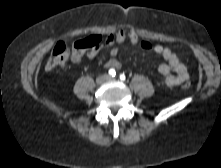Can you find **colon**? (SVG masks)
<instances>
[{
	"label": "colon",
	"mask_w": 221,
	"mask_h": 168,
	"mask_svg": "<svg viewBox=\"0 0 221 168\" xmlns=\"http://www.w3.org/2000/svg\"><path fill=\"white\" fill-rule=\"evenodd\" d=\"M127 40L131 44H137L140 41V36L133 30L126 31L124 28H119L116 32H110L102 37V42L106 46H111L114 43H125ZM100 41L101 38L99 36H91L86 40L75 42L72 48H68L63 42H59L53 48L45 64V68L47 70H53L64 65L69 60H78L86 50L98 48ZM189 87V83L183 85L185 89Z\"/></svg>",
	"instance_id": "obj_1"
}]
</instances>
